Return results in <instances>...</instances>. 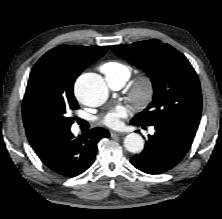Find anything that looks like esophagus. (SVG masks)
<instances>
[{"instance_id":"esophagus-1","label":"esophagus","mask_w":222,"mask_h":219,"mask_svg":"<svg viewBox=\"0 0 222 219\" xmlns=\"http://www.w3.org/2000/svg\"><path fill=\"white\" fill-rule=\"evenodd\" d=\"M110 134H111L112 137H119V136H122V135H123V133H121V132H116V131H111Z\"/></svg>"}]
</instances>
